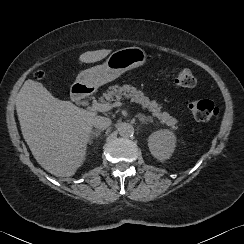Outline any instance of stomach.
<instances>
[{"label": "stomach", "mask_w": 244, "mask_h": 244, "mask_svg": "<svg viewBox=\"0 0 244 244\" xmlns=\"http://www.w3.org/2000/svg\"><path fill=\"white\" fill-rule=\"evenodd\" d=\"M147 54L140 47H126L114 51L107 60L95 67L78 74L72 87L84 85L88 88H98L120 77L125 72L144 65Z\"/></svg>", "instance_id": "obj_1"}]
</instances>
